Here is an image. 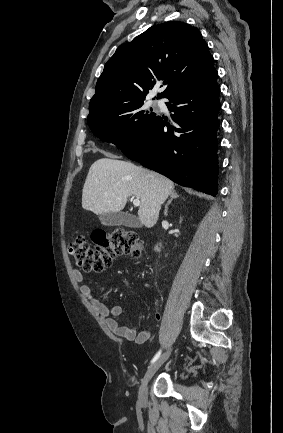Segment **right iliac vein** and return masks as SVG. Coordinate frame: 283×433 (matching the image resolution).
<instances>
[{
  "label": "right iliac vein",
  "mask_w": 283,
  "mask_h": 433,
  "mask_svg": "<svg viewBox=\"0 0 283 433\" xmlns=\"http://www.w3.org/2000/svg\"><path fill=\"white\" fill-rule=\"evenodd\" d=\"M171 352H172V347L169 348L163 355H161V357H159L153 364H151L148 367L139 388L138 398L141 405H145L148 402L147 393H148L149 381L152 379L153 375L161 367V365L168 359Z\"/></svg>",
  "instance_id": "obj_1"
}]
</instances>
